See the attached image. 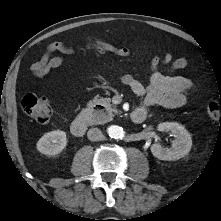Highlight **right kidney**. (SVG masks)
<instances>
[{"instance_id":"right-kidney-1","label":"right kidney","mask_w":221,"mask_h":221,"mask_svg":"<svg viewBox=\"0 0 221 221\" xmlns=\"http://www.w3.org/2000/svg\"><path fill=\"white\" fill-rule=\"evenodd\" d=\"M67 137L64 131L55 130L45 133L37 142V150L42 154L56 155L62 152L67 145Z\"/></svg>"}]
</instances>
